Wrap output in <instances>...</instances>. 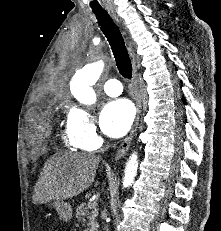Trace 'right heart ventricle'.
<instances>
[{
  "label": "right heart ventricle",
  "instance_id": "1",
  "mask_svg": "<svg viewBox=\"0 0 221 231\" xmlns=\"http://www.w3.org/2000/svg\"><path fill=\"white\" fill-rule=\"evenodd\" d=\"M65 143L68 147L71 148H80L74 137L72 136L69 127H67V136L65 138Z\"/></svg>",
  "mask_w": 221,
  "mask_h": 231
}]
</instances>
